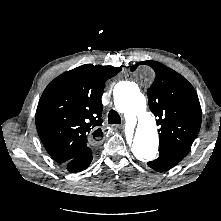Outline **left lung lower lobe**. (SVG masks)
<instances>
[{
    "instance_id": "0a47b994",
    "label": "left lung lower lobe",
    "mask_w": 221,
    "mask_h": 221,
    "mask_svg": "<svg viewBox=\"0 0 221 221\" xmlns=\"http://www.w3.org/2000/svg\"><path fill=\"white\" fill-rule=\"evenodd\" d=\"M159 151V157L147 163L149 167L158 172L173 168L185 157V154L173 150L159 149Z\"/></svg>"
}]
</instances>
